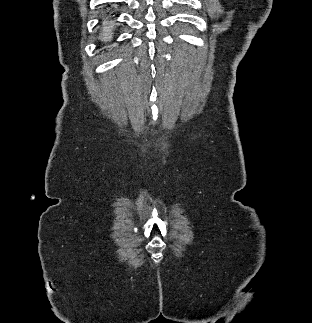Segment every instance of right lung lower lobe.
<instances>
[{
	"label": "right lung lower lobe",
	"instance_id": "1",
	"mask_svg": "<svg viewBox=\"0 0 312 323\" xmlns=\"http://www.w3.org/2000/svg\"><path fill=\"white\" fill-rule=\"evenodd\" d=\"M115 4H119V3H107V8H110V9H113L115 6ZM109 12H107V16H105L104 17V19H103V23H101L102 25H103V28L105 29V30H110L112 27H113V21H112V19H113V17H111V16H113V14H110Z\"/></svg>",
	"mask_w": 312,
	"mask_h": 323
}]
</instances>
